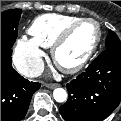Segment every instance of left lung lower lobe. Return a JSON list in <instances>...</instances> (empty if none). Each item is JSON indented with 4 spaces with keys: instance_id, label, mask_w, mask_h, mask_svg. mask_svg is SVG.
Here are the masks:
<instances>
[{
    "instance_id": "obj_1",
    "label": "left lung lower lobe",
    "mask_w": 121,
    "mask_h": 121,
    "mask_svg": "<svg viewBox=\"0 0 121 121\" xmlns=\"http://www.w3.org/2000/svg\"><path fill=\"white\" fill-rule=\"evenodd\" d=\"M68 100L59 108L65 121H102L121 101V49L102 52L66 85Z\"/></svg>"
}]
</instances>
